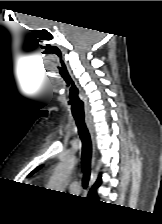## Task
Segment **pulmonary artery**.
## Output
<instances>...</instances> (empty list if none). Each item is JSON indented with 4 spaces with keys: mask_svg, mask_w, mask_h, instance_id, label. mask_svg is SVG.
Wrapping results in <instances>:
<instances>
[{
    "mask_svg": "<svg viewBox=\"0 0 162 224\" xmlns=\"http://www.w3.org/2000/svg\"><path fill=\"white\" fill-rule=\"evenodd\" d=\"M69 189L72 193H79L81 190V182L78 179L72 180L69 185Z\"/></svg>",
    "mask_w": 162,
    "mask_h": 224,
    "instance_id": "1",
    "label": "pulmonary artery"
}]
</instances>
